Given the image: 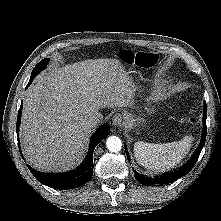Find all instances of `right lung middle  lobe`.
I'll use <instances>...</instances> for the list:
<instances>
[{"instance_id": "right-lung-middle-lobe-1", "label": "right lung middle lobe", "mask_w": 221, "mask_h": 221, "mask_svg": "<svg viewBox=\"0 0 221 221\" xmlns=\"http://www.w3.org/2000/svg\"><path fill=\"white\" fill-rule=\"evenodd\" d=\"M47 63H48V59L41 60L33 69L30 78H34L41 70H43L46 67Z\"/></svg>"}]
</instances>
